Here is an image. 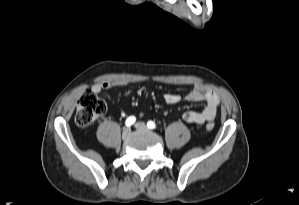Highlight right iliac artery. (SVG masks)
Returning a JSON list of instances; mask_svg holds the SVG:
<instances>
[{"mask_svg": "<svg viewBox=\"0 0 299 205\" xmlns=\"http://www.w3.org/2000/svg\"><path fill=\"white\" fill-rule=\"evenodd\" d=\"M136 121V118L134 116H130L127 118L125 124L126 126H131Z\"/></svg>", "mask_w": 299, "mask_h": 205, "instance_id": "82829eb1", "label": "right iliac artery"}]
</instances>
